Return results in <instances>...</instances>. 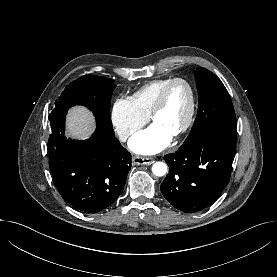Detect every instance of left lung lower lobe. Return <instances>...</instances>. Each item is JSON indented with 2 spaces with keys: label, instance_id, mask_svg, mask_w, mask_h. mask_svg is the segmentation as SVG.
<instances>
[{
  "label": "left lung lower lobe",
  "instance_id": "1",
  "mask_svg": "<svg viewBox=\"0 0 277 277\" xmlns=\"http://www.w3.org/2000/svg\"><path fill=\"white\" fill-rule=\"evenodd\" d=\"M236 135L214 133L164 156L169 175L161 184L165 199L186 213L213 203L228 184Z\"/></svg>",
  "mask_w": 277,
  "mask_h": 277
}]
</instances>
